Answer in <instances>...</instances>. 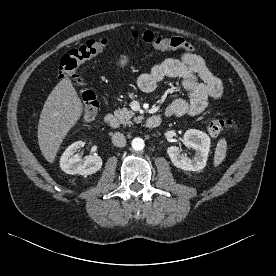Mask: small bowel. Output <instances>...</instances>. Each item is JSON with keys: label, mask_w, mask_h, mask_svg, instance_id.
Masks as SVG:
<instances>
[{"label": "small bowel", "mask_w": 276, "mask_h": 276, "mask_svg": "<svg viewBox=\"0 0 276 276\" xmlns=\"http://www.w3.org/2000/svg\"><path fill=\"white\" fill-rule=\"evenodd\" d=\"M166 78L179 80L188 93V98L171 102L165 110L167 116L197 115L205 110L210 100H218L223 94L222 82L197 54L184 53L179 58L163 60L141 74L137 85L141 91L150 93Z\"/></svg>", "instance_id": "1"}]
</instances>
